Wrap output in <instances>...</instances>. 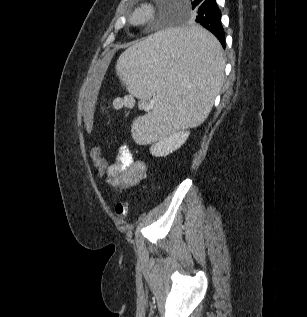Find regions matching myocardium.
<instances>
[{
	"mask_svg": "<svg viewBox=\"0 0 307 317\" xmlns=\"http://www.w3.org/2000/svg\"><path fill=\"white\" fill-rule=\"evenodd\" d=\"M157 6L152 1L141 2L130 14L129 21L134 27H142L154 19Z\"/></svg>",
	"mask_w": 307,
	"mask_h": 317,
	"instance_id": "myocardium-1",
	"label": "myocardium"
}]
</instances>
